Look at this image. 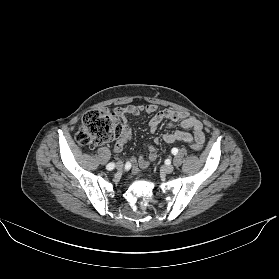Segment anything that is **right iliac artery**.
<instances>
[{"label":"right iliac artery","instance_id":"82829eb1","mask_svg":"<svg viewBox=\"0 0 279 279\" xmlns=\"http://www.w3.org/2000/svg\"><path fill=\"white\" fill-rule=\"evenodd\" d=\"M114 167H115V164H114V163H109V164L106 166V169H107V170H112V169H114Z\"/></svg>","mask_w":279,"mask_h":279}]
</instances>
